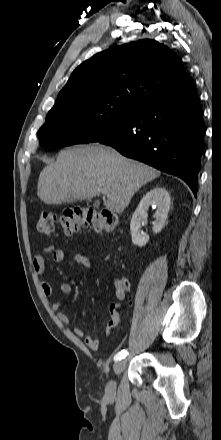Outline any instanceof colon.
<instances>
[{
	"instance_id": "5ec220e1",
	"label": "colon",
	"mask_w": 221,
	"mask_h": 440,
	"mask_svg": "<svg viewBox=\"0 0 221 440\" xmlns=\"http://www.w3.org/2000/svg\"><path fill=\"white\" fill-rule=\"evenodd\" d=\"M58 226L64 234L70 236L82 229L95 232H112L119 226L118 216L110 211L96 212L89 208H67L57 215L51 212L41 213L37 220V230L44 235H50ZM125 290L129 289L127 281L122 282Z\"/></svg>"
}]
</instances>
